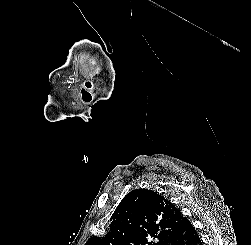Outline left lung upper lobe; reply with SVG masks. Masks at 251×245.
<instances>
[{"label":"left lung upper lobe","instance_id":"left-lung-upper-lobe-1","mask_svg":"<svg viewBox=\"0 0 251 245\" xmlns=\"http://www.w3.org/2000/svg\"><path fill=\"white\" fill-rule=\"evenodd\" d=\"M188 219L170 201L148 189L128 193L110 218L109 231L85 245H167Z\"/></svg>","mask_w":251,"mask_h":245}]
</instances>
